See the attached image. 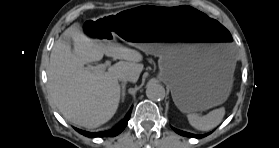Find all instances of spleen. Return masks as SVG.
<instances>
[{
  "instance_id": "spleen-1",
  "label": "spleen",
  "mask_w": 279,
  "mask_h": 148,
  "mask_svg": "<svg viewBox=\"0 0 279 148\" xmlns=\"http://www.w3.org/2000/svg\"><path fill=\"white\" fill-rule=\"evenodd\" d=\"M225 115L223 107L210 111L207 115L188 114L187 118L190 125L197 130L208 131L218 126Z\"/></svg>"
}]
</instances>
